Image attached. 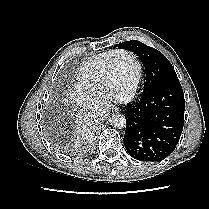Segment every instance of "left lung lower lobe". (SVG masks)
I'll return each mask as SVG.
<instances>
[{
    "label": "left lung lower lobe",
    "mask_w": 209,
    "mask_h": 209,
    "mask_svg": "<svg viewBox=\"0 0 209 209\" xmlns=\"http://www.w3.org/2000/svg\"><path fill=\"white\" fill-rule=\"evenodd\" d=\"M185 100L179 80L164 82L124 107L127 152L140 161H161L179 142Z\"/></svg>",
    "instance_id": "0a47b994"
}]
</instances>
